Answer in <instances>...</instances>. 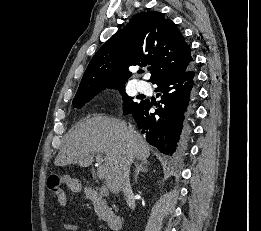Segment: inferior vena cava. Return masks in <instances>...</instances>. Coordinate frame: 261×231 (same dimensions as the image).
I'll return each mask as SVG.
<instances>
[{"label":"inferior vena cava","mask_w":261,"mask_h":231,"mask_svg":"<svg viewBox=\"0 0 261 231\" xmlns=\"http://www.w3.org/2000/svg\"><path fill=\"white\" fill-rule=\"evenodd\" d=\"M130 133L133 132V129L129 127ZM129 169H130V163H128L127 166V171L125 172L124 175V182H123V193L127 202V205L129 208L134 209L135 205L133 203V193L130 185V180H129Z\"/></svg>","instance_id":"602c4592"}]
</instances>
